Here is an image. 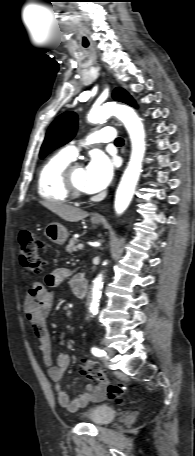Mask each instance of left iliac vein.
Masks as SVG:
<instances>
[{
  "label": "left iliac vein",
  "instance_id": "left-iliac-vein-1",
  "mask_svg": "<svg viewBox=\"0 0 195 456\" xmlns=\"http://www.w3.org/2000/svg\"><path fill=\"white\" fill-rule=\"evenodd\" d=\"M105 351H106V354H107L106 355V359L111 358L115 354V350L112 349V348H106Z\"/></svg>",
  "mask_w": 195,
  "mask_h": 456
}]
</instances>
